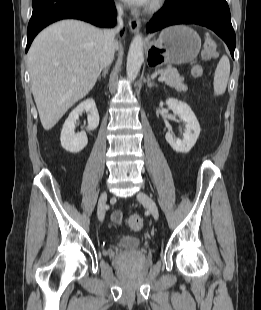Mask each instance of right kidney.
<instances>
[{
	"label": "right kidney",
	"mask_w": 261,
	"mask_h": 310,
	"mask_svg": "<svg viewBox=\"0 0 261 310\" xmlns=\"http://www.w3.org/2000/svg\"><path fill=\"white\" fill-rule=\"evenodd\" d=\"M82 112H87L88 131L95 130L99 125V114L93 99H87L80 103L66 119L60 136L61 146L70 153H78L88 143L85 132L75 133V122Z\"/></svg>",
	"instance_id": "obj_1"
}]
</instances>
